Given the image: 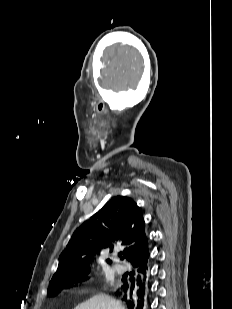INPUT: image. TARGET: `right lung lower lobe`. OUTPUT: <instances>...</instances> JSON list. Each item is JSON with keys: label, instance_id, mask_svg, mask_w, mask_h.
Segmentation results:
<instances>
[{"label": "right lung lower lobe", "instance_id": "obj_1", "mask_svg": "<svg viewBox=\"0 0 232 309\" xmlns=\"http://www.w3.org/2000/svg\"><path fill=\"white\" fill-rule=\"evenodd\" d=\"M149 253L132 264L135 272L134 277L123 279V284L116 291L129 309H148L147 296V273Z\"/></svg>", "mask_w": 232, "mask_h": 309}]
</instances>
